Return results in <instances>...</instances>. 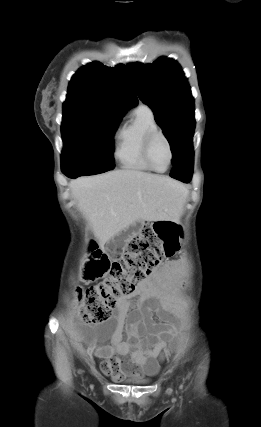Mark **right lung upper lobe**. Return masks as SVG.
Here are the masks:
<instances>
[{
  "label": "right lung upper lobe",
  "instance_id": "obj_1",
  "mask_svg": "<svg viewBox=\"0 0 261 427\" xmlns=\"http://www.w3.org/2000/svg\"><path fill=\"white\" fill-rule=\"evenodd\" d=\"M136 104L128 69L124 65L109 68L94 62L72 77L63 113L89 111L122 118Z\"/></svg>",
  "mask_w": 261,
  "mask_h": 427
}]
</instances>
